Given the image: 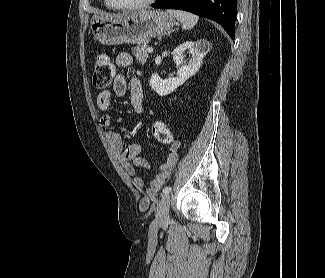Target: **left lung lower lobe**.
Returning <instances> with one entry per match:
<instances>
[{"label":"left lung lower lobe","mask_w":325,"mask_h":278,"mask_svg":"<svg viewBox=\"0 0 325 278\" xmlns=\"http://www.w3.org/2000/svg\"><path fill=\"white\" fill-rule=\"evenodd\" d=\"M154 8L180 9L219 23L233 39L237 13L236 0H157Z\"/></svg>","instance_id":"0a47b994"}]
</instances>
